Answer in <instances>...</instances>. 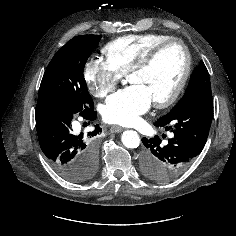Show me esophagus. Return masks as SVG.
<instances>
[{
    "mask_svg": "<svg viewBox=\"0 0 236 236\" xmlns=\"http://www.w3.org/2000/svg\"><path fill=\"white\" fill-rule=\"evenodd\" d=\"M124 130V128L118 126V125H113L110 128L111 133H119L122 132Z\"/></svg>",
    "mask_w": 236,
    "mask_h": 236,
    "instance_id": "34e87169",
    "label": "esophagus"
}]
</instances>
